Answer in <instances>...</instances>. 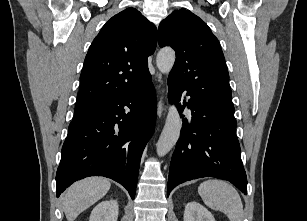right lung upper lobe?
Returning <instances> with one entry per match:
<instances>
[{
  "label": "right lung upper lobe",
  "mask_w": 307,
  "mask_h": 221,
  "mask_svg": "<svg viewBox=\"0 0 307 221\" xmlns=\"http://www.w3.org/2000/svg\"><path fill=\"white\" fill-rule=\"evenodd\" d=\"M157 30L137 9L113 16L93 40L80 75L76 107L99 106L141 88L150 76Z\"/></svg>",
  "instance_id": "right-lung-upper-lobe-1"
}]
</instances>
